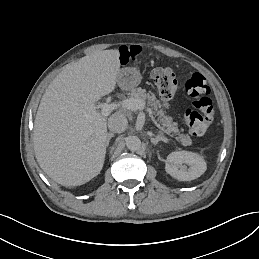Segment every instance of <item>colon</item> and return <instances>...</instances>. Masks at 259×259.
<instances>
[{
    "label": "colon",
    "instance_id": "1",
    "mask_svg": "<svg viewBox=\"0 0 259 259\" xmlns=\"http://www.w3.org/2000/svg\"><path fill=\"white\" fill-rule=\"evenodd\" d=\"M151 77L163 99H171L179 89L175 74L170 68L155 67L151 71ZM184 88L193 104V108L185 111L184 121L191 134L203 135L214 122L210 87L202 74L194 73L185 82Z\"/></svg>",
    "mask_w": 259,
    "mask_h": 259
}]
</instances>
